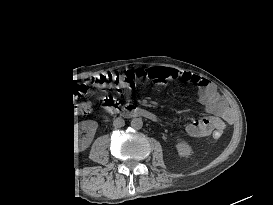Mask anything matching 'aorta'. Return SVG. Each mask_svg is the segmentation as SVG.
I'll use <instances>...</instances> for the list:
<instances>
[{
  "instance_id": "aorta-1",
  "label": "aorta",
  "mask_w": 273,
  "mask_h": 205,
  "mask_svg": "<svg viewBox=\"0 0 273 205\" xmlns=\"http://www.w3.org/2000/svg\"><path fill=\"white\" fill-rule=\"evenodd\" d=\"M143 126V121L141 118H133L131 120V127L135 130L141 129Z\"/></svg>"
}]
</instances>
